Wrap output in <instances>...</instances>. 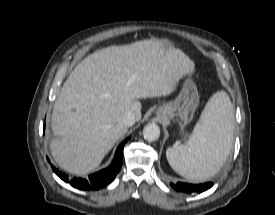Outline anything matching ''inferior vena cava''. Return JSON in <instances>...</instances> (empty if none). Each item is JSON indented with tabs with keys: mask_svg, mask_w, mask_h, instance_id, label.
Here are the masks:
<instances>
[{
	"mask_svg": "<svg viewBox=\"0 0 275 215\" xmlns=\"http://www.w3.org/2000/svg\"><path fill=\"white\" fill-rule=\"evenodd\" d=\"M134 123H135V115L132 111H127L120 121V124L125 127H130Z\"/></svg>",
	"mask_w": 275,
	"mask_h": 215,
	"instance_id": "1",
	"label": "inferior vena cava"
}]
</instances>
